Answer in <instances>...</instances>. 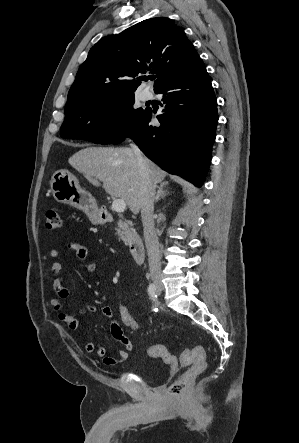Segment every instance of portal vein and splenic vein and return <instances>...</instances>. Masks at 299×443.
Masks as SVG:
<instances>
[{
  "instance_id": "obj_1",
  "label": "portal vein and splenic vein",
  "mask_w": 299,
  "mask_h": 443,
  "mask_svg": "<svg viewBox=\"0 0 299 443\" xmlns=\"http://www.w3.org/2000/svg\"><path fill=\"white\" fill-rule=\"evenodd\" d=\"M112 210L117 213H122L126 210V203L122 199H115L112 203Z\"/></svg>"
}]
</instances>
